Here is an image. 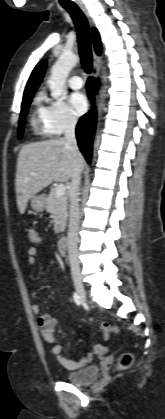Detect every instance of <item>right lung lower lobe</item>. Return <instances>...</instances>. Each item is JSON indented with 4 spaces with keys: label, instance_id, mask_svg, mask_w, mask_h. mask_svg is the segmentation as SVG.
Wrapping results in <instances>:
<instances>
[{
    "label": "right lung lower lobe",
    "instance_id": "1",
    "mask_svg": "<svg viewBox=\"0 0 165 419\" xmlns=\"http://www.w3.org/2000/svg\"><path fill=\"white\" fill-rule=\"evenodd\" d=\"M98 86V81L95 78L90 77L87 81V90L89 98L94 99V94ZM96 126V109H93L82 116L76 127V137L78 141V146L85 156L88 163L91 160L92 154V141L94 137Z\"/></svg>",
    "mask_w": 165,
    "mask_h": 419
}]
</instances>
